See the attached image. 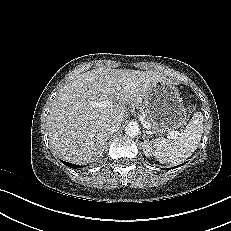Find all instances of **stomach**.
Returning a JSON list of instances; mask_svg holds the SVG:
<instances>
[{
    "label": "stomach",
    "mask_w": 231,
    "mask_h": 231,
    "mask_svg": "<svg viewBox=\"0 0 231 231\" xmlns=\"http://www.w3.org/2000/svg\"><path fill=\"white\" fill-rule=\"evenodd\" d=\"M143 109L153 133L173 131L187 120V111L178 89L166 81H158L151 88L144 100Z\"/></svg>",
    "instance_id": "obj_1"
}]
</instances>
